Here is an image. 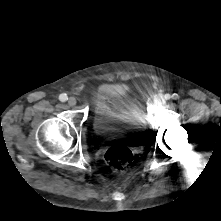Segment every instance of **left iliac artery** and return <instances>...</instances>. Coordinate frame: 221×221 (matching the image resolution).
Here are the masks:
<instances>
[{"mask_svg": "<svg viewBox=\"0 0 221 221\" xmlns=\"http://www.w3.org/2000/svg\"><path fill=\"white\" fill-rule=\"evenodd\" d=\"M165 98H166V99H170V95H169V94H166V95H165ZM172 98H173V99H177V98H178V95H177L176 93H174V94L172 95Z\"/></svg>", "mask_w": 221, "mask_h": 221, "instance_id": "44dca946", "label": "left iliac artery"}]
</instances>
